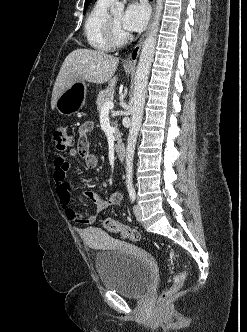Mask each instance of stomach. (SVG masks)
Instances as JSON below:
<instances>
[{
    "instance_id": "1",
    "label": "stomach",
    "mask_w": 247,
    "mask_h": 332,
    "mask_svg": "<svg viewBox=\"0 0 247 332\" xmlns=\"http://www.w3.org/2000/svg\"><path fill=\"white\" fill-rule=\"evenodd\" d=\"M130 73L132 69L126 68ZM87 85L85 81H77L66 89L57 99V111L66 116L77 114L85 105Z\"/></svg>"
}]
</instances>
